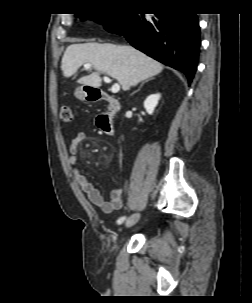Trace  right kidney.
<instances>
[{
  "label": "right kidney",
  "instance_id": "ca27d5eb",
  "mask_svg": "<svg viewBox=\"0 0 252 303\" xmlns=\"http://www.w3.org/2000/svg\"><path fill=\"white\" fill-rule=\"evenodd\" d=\"M159 99H160V94L159 93L149 95L145 99V101H144V108H145V110H146V112L148 114H150V115L153 114L154 109L157 106Z\"/></svg>",
  "mask_w": 252,
  "mask_h": 303
}]
</instances>
